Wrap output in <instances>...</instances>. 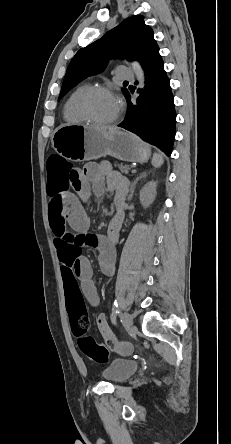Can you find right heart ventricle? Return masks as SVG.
I'll return each instance as SVG.
<instances>
[{
	"mask_svg": "<svg viewBox=\"0 0 231 444\" xmlns=\"http://www.w3.org/2000/svg\"><path fill=\"white\" fill-rule=\"evenodd\" d=\"M90 85L88 83H81L76 86L67 97L63 106V117L68 123L81 124L85 120L80 116L77 110L78 100Z\"/></svg>",
	"mask_w": 231,
	"mask_h": 444,
	"instance_id": "obj_1",
	"label": "right heart ventricle"
}]
</instances>
